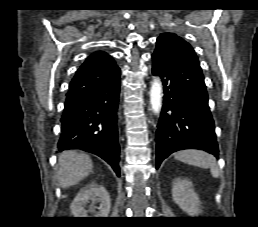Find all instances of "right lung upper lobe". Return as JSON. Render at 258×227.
<instances>
[{"label":"right lung upper lobe","mask_w":258,"mask_h":227,"mask_svg":"<svg viewBox=\"0 0 258 227\" xmlns=\"http://www.w3.org/2000/svg\"><path fill=\"white\" fill-rule=\"evenodd\" d=\"M108 54L104 53V52H96V53H93L88 59H91L93 57H97V56H107ZM87 59V60H88Z\"/></svg>","instance_id":"cb5924a9"}]
</instances>
